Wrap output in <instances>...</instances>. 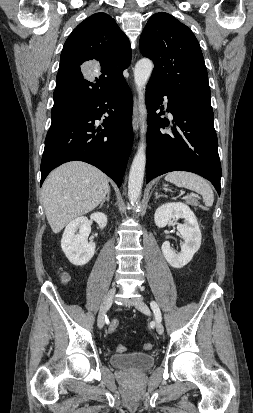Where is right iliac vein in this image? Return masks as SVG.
<instances>
[{"label": "right iliac vein", "mask_w": 253, "mask_h": 413, "mask_svg": "<svg viewBox=\"0 0 253 413\" xmlns=\"http://www.w3.org/2000/svg\"><path fill=\"white\" fill-rule=\"evenodd\" d=\"M115 292H116L115 287L110 289V291L107 293V295H106V297H105V299H104V301L101 305L100 312H99L98 319H97V325L100 329L103 328V326H104L105 314L109 310V308H110V306L113 302Z\"/></svg>", "instance_id": "right-iliac-vein-1"}]
</instances>
